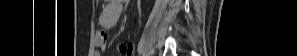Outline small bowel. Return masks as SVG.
Wrapping results in <instances>:
<instances>
[{"label": "small bowel", "mask_w": 297, "mask_h": 56, "mask_svg": "<svg viewBox=\"0 0 297 56\" xmlns=\"http://www.w3.org/2000/svg\"><path fill=\"white\" fill-rule=\"evenodd\" d=\"M123 2L124 0H110L103 7L100 15V24L105 30L99 32L97 36V47L101 51H105L107 47L108 35L106 30L114 27L121 17ZM119 52L121 54L130 55L131 47L126 44H121L119 46Z\"/></svg>", "instance_id": "obj_1"}]
</instances>
